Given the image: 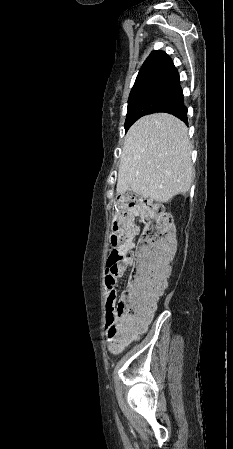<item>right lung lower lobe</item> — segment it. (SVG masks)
Instances as JSON below:
<instances>
[{
	"label": "right lung lower lobe",
	"mask_w": 233,
	"mask_h": 449,
	"mask_svg": "<svg viewBox=\"0 0 233 449\" xmlns=\"http://www.w3.org/2000/svg\"><path fill=\"white\" fill-rule=\"evenodd\" d=\"M159 112L172 114L187 124V108L185 107L183 100L170 106H167L162 110H160Z\"/></svg>",
	"instance_id": "98d812e1"
}]
</instances>
